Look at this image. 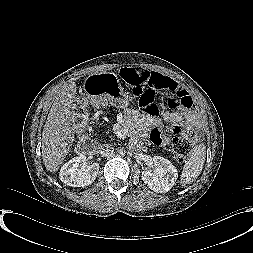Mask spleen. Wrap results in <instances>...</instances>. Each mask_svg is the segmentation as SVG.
I'll list each match as a JSON object with an SVG mask.
<instances>
[{
  "mask_svg": "<svg viewBox=\"0 0 253 253\" xmlns=\"http://www.w3.org/2000/svg\"><path fill=\"white\" fill-rule=\"evenodd\" d=\"M205 158H206L205 146L203 144L196 145L193 148L190 157L187 159L183 167V171L181 174L182 186H185L186 184L193 182V180L199 176V174L202 171Z\"/></svg>",
  "mask_w": 253,
  "mask_h": 253,
  "instance_id": "spleen-1",
  "label": "spleen"
}]
</instances>
